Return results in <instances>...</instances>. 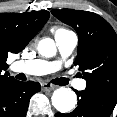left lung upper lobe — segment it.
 <instances>
[{
    "label": "left lung upper lobe",
    "mask_w": 117,
    "mask_h": 117,
    "mask_svg": "<svg viewBox=\"0 0 117 117\" xmlns=\"http://www.w3.org/2000/svg\"><path fill=\"white\" fill-rule=\"evenodd\" d=\"M51 13L78 34L76 65L87 81L86 89L117 95V35L98 14L54 9Z\"/></svg>",
    "instance_id": "obj_1"
}]
</instances>
